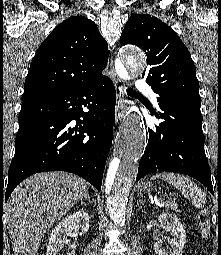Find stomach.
<instances>
[{"instance_id":"0dacf381","label":"stomach","mask_w":221,"mask_h":255,"mask_svg":"<svg viewBox=\"0 0 221 255\" xmlns=\"http://www.w3.org/2000/svg\"><path fill=\"white\" fill-rule=\"evenodd\" d=\"M152 189V184L150 182H144L142 185L138 187V192H148Z\"/></svg>"}]
</instances>
